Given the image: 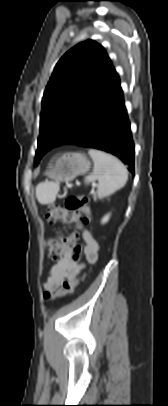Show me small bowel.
I'll list each match as a JSON object with an SVG mask.
<instances>
[{
	"mask_svg": "<svg viewBox=\"0 0 168 406\" xmlns=\"http://www.w3.org/2000/svg\"><path fill=\"white\" fill-rule=\"evenodd\" d=\"M82 235L86 242L85 251L87 260L90 263H94L98 257V244L87 230L82 229ZM72 255V249L66 248L56 260L43 285L46 290H57L65 281L73 280L77 277L83 265L80 262L73 261Z\"/></svg>",
	"mask_w": 168,
	"mask_h": 406,
	"instance_id": "obj_1",
	"label": "small bowel"
}]
</instances>
